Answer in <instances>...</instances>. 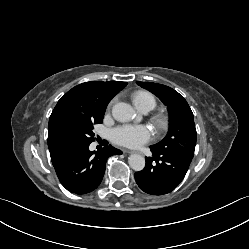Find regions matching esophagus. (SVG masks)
Segmentation results:
<instances>
[{"instance_id": "34e87169", "label": "esophagus", "mask_w": 249, "mask_h": 249, "mask_svg": "<svg viewBox=\"0 0 249 249\" xmlns=\"http://www.w3.org/2000/svg\"><path fill=\"white\" fill-rule=\"evenodd\" d=\"M124 153H136V152H133V151H130V150H124Z\"/></svg>"}]
</instances>
